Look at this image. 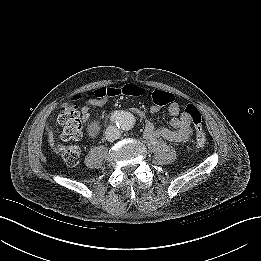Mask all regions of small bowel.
<instances>
[{"label":"small bowel","instance_id":"c3829d8e","mask_svg":"<svg viewBox=\"0 0 261 261\" xmlns=\"http://www.w3.org/2000/svg\"><path fill=\"white\" fill-rule=\"evenodd\" d=\"M106 103V99L92 98L86 100L81 107V117L84 123L90 119L92 107H100ZM160 106L154 103L151 107V112H158ZM168 112L172 116L170 120V127L161 125L155 126L151 121L145 122V135L148 138H163L175 143H186L192 136V120L190 116L184 111L181 112L179 104L173 100L168 104ZM143 118L142 111L137 112Z\"/></svg>","mask_w":261,"mask_h":261}]
</instances>
